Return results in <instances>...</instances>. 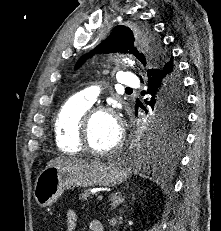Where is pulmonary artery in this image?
I'll list each match as a JSON object with an SVG mask.
<instances>
[{
	"label": "pulmonary artery",
	"instance_id": "1",
	"mask_svg": "<svg viewBox=\"0 0 221 231\" xmlns=\"http://www.w3.org/2000/svg\"><path fill=\"white\" fill-rule=\"evenodd\" d=\"M117 78L119 85L122 87H136L139 84L138 79L129 72H121L118 74ZM99 96L100 90L96 86L85 88L77 94V97L88 102L89 104H93Z\"/></svg>",
	"mask_w": 221,
	"mask_h": 231
}]
</instances>
